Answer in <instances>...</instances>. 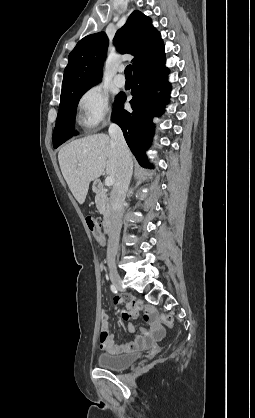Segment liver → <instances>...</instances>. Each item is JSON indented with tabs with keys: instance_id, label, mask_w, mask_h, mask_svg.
<instances>
[{
	"instance_id": "liver-1",
	"label": "liver",
	"mask_w": 255,
	"mask_h": 418,
	"mask_svg": "<svg viewBox=\"0 0 255 418\" xmlns=\"http://www.w3.org/2000/svg\"><path fill=\"white\" fill-rule=\"evenodd\" d=\"M61 172L70 191L79 204H83L91 181L104 170L116 178L118 152L106 134H94L65 145L58 153Z\"/></svg>"
}]
</instances>
